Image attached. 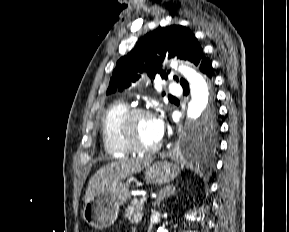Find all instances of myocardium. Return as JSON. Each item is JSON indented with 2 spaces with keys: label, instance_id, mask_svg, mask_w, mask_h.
Segmentation results:
<instances>
[{
  "label": "myocardium",
  "instance_id": "f54148a6",
  "mask_svg": "<svg viewBox=\"0 0 289 232\" xmlns=\"http://www.w3.org/2000/svg\"><path fill=\"white\" fill-rule=\"evenodd\" d=\"M141 116H151L154 117V114L151 110L143 107H132L127 110L123 115L120 122V135L125 142V144L133 150L135 153L140 154H151L156 152L161 143L158 142L156 145L151 147L143 146L139 143L135 136L134 132V123L137 118Z\"/></svg>",
  "mask_w": 289,
  "mask_h": 232
}]
</instances>
